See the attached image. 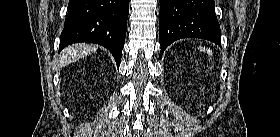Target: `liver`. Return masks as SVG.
I'll list each match as a JSON object with an SVG mask.
<instances>
[{"label":"liver","instance_id":"obj_1","mask_svg":"<svg viewBox=\"0 0 280 137\" xmlns=\"http://www.w3.org/2000/svg\"><path fill=\"white\" fill-rule=\"evenodd\" d=\"M97 46L85 43L74 44L67 47L61 54L60 65L65 66L97 50Z\"/></svg>","mask_w":280,"mask_h":137}]
</instances>
